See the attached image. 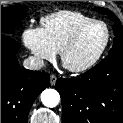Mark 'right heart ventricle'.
<instances>
[{
  "instance_id": "1",
  "label": "right heart ventricle",
  "mask_w": 123,
  "mask_h": 123,
  "mask_svg": "<svg viewBox=\"0 0 123 123\" xmlns=\"http://www.w3.org/2000/svg\"><path fill=\"white\" fill-rule=\"evenodd\" d=\"M93 20L80 12L62 10L43 17L41 29L51 48L60 52L78 28Z\"/></svg>"
}]
</instances>
